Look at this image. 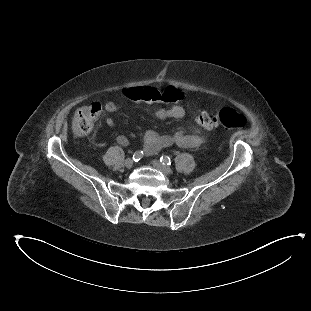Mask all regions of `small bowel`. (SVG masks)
Instances as JSON below:
<instances>
[{"mask_svg":"<svg viewBox=\"0 0 311 311\" xmlns=\"http://www.w3.org/2000/svg\"><path fill=\"white\" fill-rule=\"evenodd\" d=\"M104 107L109 113L117 112L121 108L118 103L112 101L106 102ZM151 114L158 119H180L184 117L185 110L179 105H174L167 108H152ZM105 121L108 126H115V121L111 117H106ZM117 141L123 146L127 144V138L123 135L118 136ZM143 143L145 152L151 155L172 144L198 148L205 143V135L200 125L183 128L174 135H160L155 131H147L143 137Z\"/></svg>","mask_w":311,"mask_h":311,"instance_id":"1","label":"small bowel"}]
</instances>
